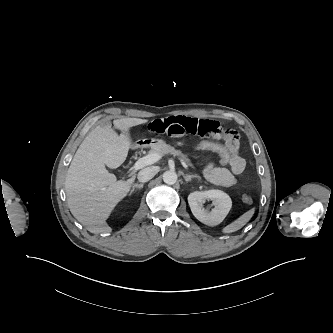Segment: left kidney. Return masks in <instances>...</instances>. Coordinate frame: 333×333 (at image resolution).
<instances>
[{
  "instance_id": "obj_1",
  "label": "left kidney",
  "mask_w": 333,
  "mask_h": 333,
  "mask_svg": "<svg viewBox=\"0 0 333 333\" xmlns=\"http://www.w3.org/2000/svg\"><path fill=\"white\" fill-rule=\"evenodd\" d=\"M205 200H212L215 207L211 210L204 207ZM192 214L202 223L215 226L223 221L231 209V198L220 190L196 191L188 196Z\"/></svg>"
}]
</instances>
